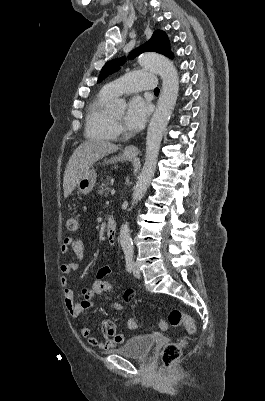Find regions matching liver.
Returning <instances> with one entry per match:
<instances>
[{
  "label": "liver",
  "mask_w": 265,
  "mask_h": 401,
  "mask_svg": "<svg viewBox=\"0 0 265 401\" xmlns=\"http://www.w3.org/2000/svg\"><path fill=\"white\" fill-rule=\"evenodd\" d=\"M119 146L109 142V140H84L75 148L72 156H70L64 172L63 188L64 198H67L77 186L78 180L82 178L86 170L97 162L99 158H103L106 154L116 152Z\"/></svg>",
  "instance_id": "1"
}]
</instances>
